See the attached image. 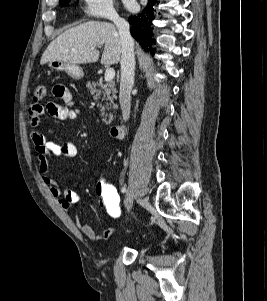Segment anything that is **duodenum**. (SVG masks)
<instances>
[{
	"label": "duodenum",
	"instance_id": "obj_1",
	"mask_svg": "<svg viewBox=\"0 0 267 301\" xmlns=\"http://www.w3.org/2000/svg\"><path fill=\"white\" fill-rule=\"evenodd\" d=\"M124 131V125L123 124H117V125H113L110 128V135L113 138H119L122 136Z\"/></svg>",
	"mask_w": 267,
	"mask_h": 301
}]
</instances>
